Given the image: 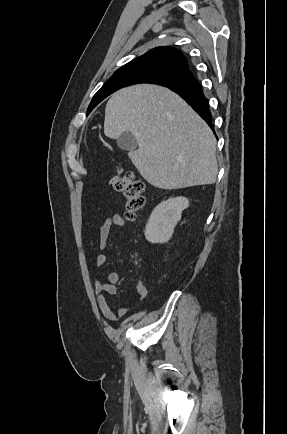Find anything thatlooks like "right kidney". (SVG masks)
<instances>
[{
  "mask_svg": "<svg viewBox=\"0 0 287 434\" xmlns=\"http://www.w3.org/2000/svg\"><path fill=\"white\" fill-rule=\"evenodd\" d=\"M189 207L185 197L169 198L153 210L144 234L150 243H167L173 235L174 228L181 219L184 209Z\"/></svg>",
  "mask_w": 287,
  "mask_h": 434,
  "instance_id": "obj_1",
  "label": "right kidney"
}]
</instances>
